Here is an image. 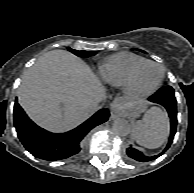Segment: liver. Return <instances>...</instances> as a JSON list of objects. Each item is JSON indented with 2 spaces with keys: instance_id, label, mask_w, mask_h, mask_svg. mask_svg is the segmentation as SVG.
<instances>
[{
  "instance_id": "1",
  "label": "liver",
  "mask_w": 194,
  "mask_h": 193,
  "mask_svg": "<svg viewBox=\"0 0 194 193\" xmlns=\"http://www.w3.org/2000/svg\"><path fill=\"white\" fill-rule=\"evenodd\" d=\"M105 98V88L90 67L64 50L40 57L24 73L18 89L20 106L51 132L77 127L94 113L89 103Z\"/></svg>"
}]
</instances>
